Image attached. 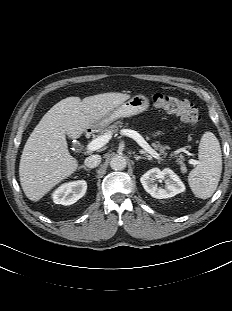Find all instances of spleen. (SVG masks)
<instances>
[{"label": "spleen", "instance_id": "1", "mask_svg": "<svg viewBox=\"0 0 232 311\" xmlns=\"http://www.w3.org/2000/svg\"><path fill=\"white\" fill-rule=\"evenodd\" d=\"M199 163L189 173L188 183L194 195L207 199L213 195L222 172V153L218 139L205 132L199 144Z\"/></svg>", "mask_w": 232, "mask_h": 311}]
</instances>
